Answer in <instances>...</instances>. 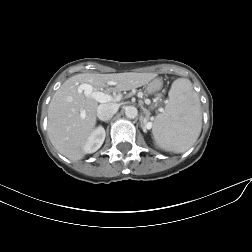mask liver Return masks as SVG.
<instances>
[{
    "instance_id": "obj_1",
    "label": "liver",
    "mask_w": 252,
    "mask_h": 252,
    "mask_svg": "<svg viewBox=\"0 0 252 252\" xmlns=\"http://www.w3.org/2000/svg\"><path fill=\"white\" fill-rule=\"evenodd\" d=\"M151 73L77 74L67 79L53 95L48 108L47 132L56 150L72 161L84 157V144L96 125L98 102L84 92L80 84L87 83L94 90L127 91L148 84ZM84 114V117L81 115Z\"/></svg>"
}]
</instances>
